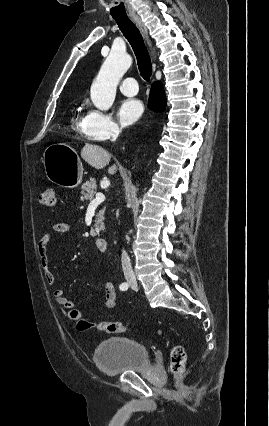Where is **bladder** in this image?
I'll return each mask as SVG.
<instances>
[{"mask_svg":"<svg viewBox=\"0 0 269 426\" xmlns=\"http://www.w3.org/2000/svg\"><path fill=\"white\" fill-rule=\"evenodd\" d=\"M93 361L107 375L145 369L149 366L146 347L125 337H111L99 343L93 353Z\"/></svg>","mask_w":269,"mask_h":426,"instance_id":"31cf9c89","label":"bladder"}]
</instances>
